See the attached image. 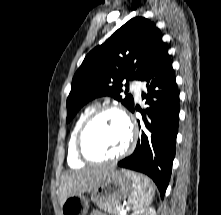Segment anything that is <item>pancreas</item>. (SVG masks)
<instances>
[{
	"label": "pancreas",
	"mask_w": 221,
	"mask_h": 215,
	"mask_svg": "<svg viewBox=\"0 0 221 215\" xmlns=\"http://www.w3.org/2000/svg\"><path fill=\"white\" fill-rule=\"evenodd\" d=\"M101 209L109 212L113 215H119V213L124 210L119 201H108L104 203L97 204Z\"/></svg>",
	"instance_id": "pancreas-1"
}]
</instances>
